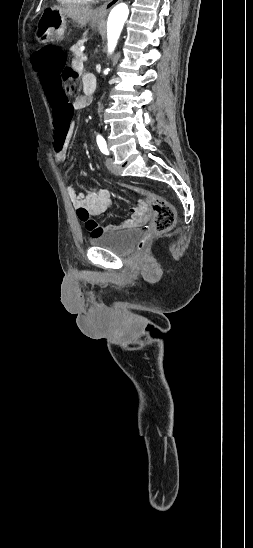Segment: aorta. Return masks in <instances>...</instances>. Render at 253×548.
I'll use <instances>...</instances> for the list:
<instances>
[{
  "label": "aorta",
  "instance_id": "aorta-1",
  "mask_svg": "<svg viewBox=\"0 0 253 548\" xmlns=\"http://www.w3.org/2000/svg\"><path fill=\"white\" fill-rule=\"evenodd\" d=\"M129 15L128 6L125 3L116 5L110 12L107 21L108 51L112 53L117 45L124 23Z\"/></svg>",
  "mask_w": 253,
  "mask_h": 548
}]
</instances>
